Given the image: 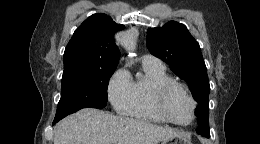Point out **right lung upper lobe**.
Wrapping results in <instances>:
<instances>
[{"label":"right lung upper lobe","instance_id":"right-lung-upper-lobe-1","mask_svg":"<svg viewBox=\"0 0 260 144\" xmlns=\"http://www.w3.org/2000/svg\"><path fill=\"white\" fill-rule=\"evenodd\" d=\"M124 29L111 17L97 13L74 32L64 52V72L116 69L120 51L114 34Z\"/></svg>","mask_w":260,"mask_h":144}]
</instances>
